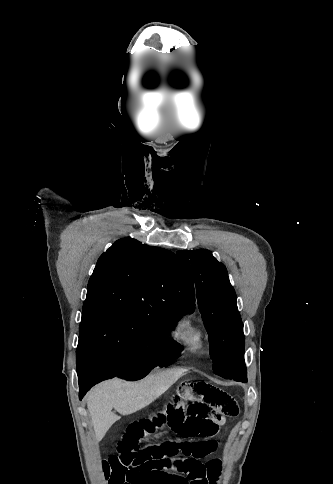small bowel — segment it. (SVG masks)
<instances>
[{"instance_id": "1", "label": "small bowel", "mask_w": 333, "mask_h": 484, "mask_svg": "<svg viewBox=\"0 0 333 484\" xmlns=\"http://www.w3.org/2000/svg\"><path fill=\"white\" fill-rule=\"evenodd\" d=\"M237 412L236 401L225 391L204 382L182 383L164 409L128 426L117 454L102 464L109 484H216L221 461L201 459L216 451L214 436ZM163 430L174 436L140 445Z\"/></svg>"}]
</instances>
